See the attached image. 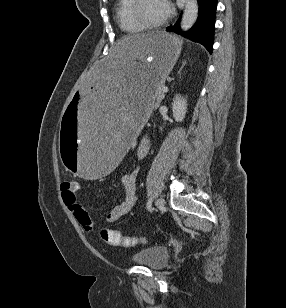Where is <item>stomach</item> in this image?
I'll use <instances>...</instances> for the list:
<instances>
[{"label":"stomach","instance_id":"obj_1","mask_svg":"<svg viewBox=\"0 0 286 308\" xmlns=\"http://www.w3.org/2000/svg\"><path fill=\"white\" fill-rule=\"evenodd\" d=\"M182 42L157 32L125 36L112 55L97 60L71 107L62 112L58 131L62 164L84 182H101L120 168L135 133L149 119L157 91L173 69Z\"/></svg>","mask_w":286,"mask_h":308}]
</instances>
